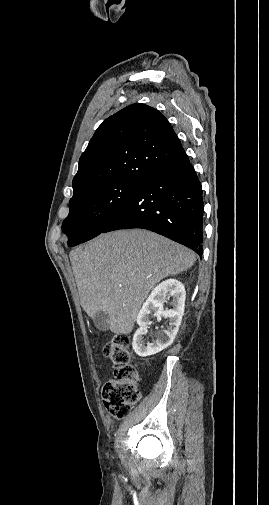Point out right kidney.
<instances>
[{"label": "right kidney", "instance_id": "ca27d5eb", "mask_svg": "<svg viewBox=\"0 0 269 505\" xmlns=\"http://www.w3.org/2000/svg\"><path fill=\"white\" fill-rule=\"evenodd\" d=\"M185 288L176 279H168L156 286L143 304L137 315L139 328L133 336L132 347L141 357L151 356L166 349L176 337L185 307ZM172 298V309L164 310L163 303ZM154 313L157 318L164 317L169 320V325L156 333L155 339L145 345L143 335L146 333L150 316Z\"/></svg>", "mask_w": 269, "mask_h": 505}]
</instances>
